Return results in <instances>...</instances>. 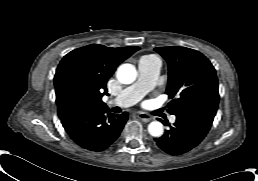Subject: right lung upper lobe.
<instances>
[{"label":"right lung upper lobe","mask_w":258,"mask_h":181,"mask_svg":"<svg viewBox=\"0 0 258 181\" xmlns=\"http://www.w3.org/2000/svg\"><path fill=\"white\" fill-rule=\"evenodd\" d=\"M139 47L110 48L91 44L65 55L54 76L58 115L67 112L64 103L73 92L88 100L93 108H105L106 83L116 67Z\"/></svg>","instance_id":"obj_1"}]
</instances>
